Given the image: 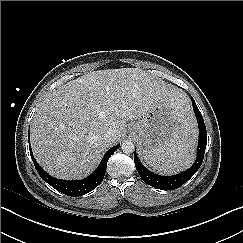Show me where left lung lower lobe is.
<instances>
[{
	"mask_svg": "<svg viewBox=\"0 0 243 243\" xmlns=\"http://www.w3.org/2000/svg\"><path fill=\"white\" fill-rule=\"evenodd\" d=\"M192 104L199 125L198 156L196 158L195 163L193 164L192 167H190L185 172L173 176L165 177V176L154 174L148 171L145 167H143V165L140 163L139 159L137 158L136 153L134 152L135 167L140 177L143 179V181L146 184L161 190H174L182 186L185 182H187L200 168L203 162V157H204L206 144H207V131H206L203 117L193 98H192Z\"/></svg>",
	"mask_w": 243,
	"mask_h": 243,
	"instance_id": "1",
	"label": "left lung lower lobe"
}]
</instances>
